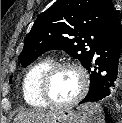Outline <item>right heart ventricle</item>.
Masks as SVG:
<instances>
[{"instance_id": "obj_1", "label": "right heart ventricle", "mask_w": 122, "mask_h": 123, "mask_svg": "<svg viewBox=\"0 0 122 123\" xmlns=\"http://www.w3.org/2000/svg\"><path fill=\"white\" fill-rule=\"evenodd\" d=\"M53 64V60L45 59L33 65L26 73L22 91L26 103L31 107L46 108L48 106L40 95V85L45 72Z\"/></svg>"}]
</instances>
